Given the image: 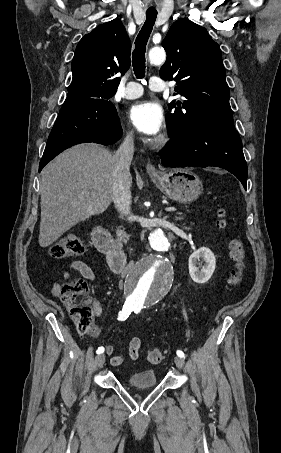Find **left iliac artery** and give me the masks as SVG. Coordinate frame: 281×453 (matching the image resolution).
Wrapping results in <instances>:
<instances>
[{"label": "left iliac artery", "mask_w": 281, "mask_h": 453, "mask_svg": "<svg viewBox=\"0 0 281 453\" xmlns=\"http://www.w3.org/2000/svg\"><path fill=\"white\" fill-rule=\"evenodd\" d=\"M143 308L141 305H134L133 306V311L137 314L140 312V310ZM177 355L181 358H184V353L180 350L177 351Z\"/></svg>", "instance_id": "44dca946"}]
</instances>
